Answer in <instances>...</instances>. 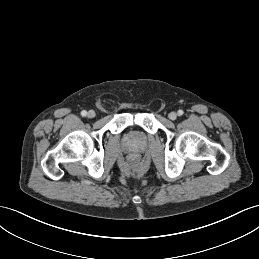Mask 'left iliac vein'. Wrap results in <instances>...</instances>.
Wrapping results in <instances>:
<instances>
[{"instance_id": "left-iliac-vein-1", "label": "left iliac vein", "mask_w": 259, "mask_h": 259, "mask_svg": "<svg viewBox=\"0 0 259 259\" xmlns=\"http://www.w3.org/2000/svg\"><path fill=\"white\" fill-rule=\"evenodd\" d=\"M169 118H170L171 120H176V118H177V113L171 112V113L169 114Z\"/></svg>"}]
</instances>
